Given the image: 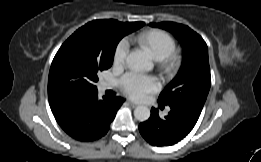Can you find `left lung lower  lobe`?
I'll use <instances>...</instances> for the list:
<instances>
[{
	"mask_svg": "<svg viewBox=\"0 0 261 162\" xmlns=\"http://www.w3.org/2000/svg\"><path fill=\"white\" fill-rule=\"evenodd\" d=\"M169 106L171 110L164 118L152 108L150 118L139 125L141 135L153 146H170L181 141L194 128L202 111L185 101Z\"/></svg>",
	"mask_w": 261,
	"mask_h": 162,
	"instance_id": "obj_1",
	"label": "left lung lower lobe"
}]
</instances>
